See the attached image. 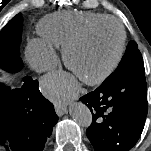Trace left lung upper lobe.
Wrapping results in <instances>:
<instances>
[{
  "instance_id": "1",
  "label": "left lung upper lobe",
  "mask_w": 151,
  "mask_h": 151,
  "mask_svg": "<svg viewBox=\"0 0 151 151\" xmlns=\"http://www.w3.org/2000/svg\"><path fill=\"white\" fill-rule=\"evenodd\" d=\"M133 68H144L143 58L135 41H130L126 53L116 70L102 83L103 85L111 83L120 75Z\"/></svg>"
}]
</instances>
